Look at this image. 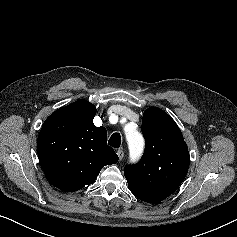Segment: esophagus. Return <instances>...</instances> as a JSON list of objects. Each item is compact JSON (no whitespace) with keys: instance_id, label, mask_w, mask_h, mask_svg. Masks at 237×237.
Returning a JSON list of instances; mask_svg holds the SVG:
<instances>
[{"instance_id":"obj_1","label":"esophagus","mask_w":237,"mask_h":237,"mask_svg":"<svg viewBox=\"0 0 237 237\" xmlns=\"http://www.w3.org/2000/svg\"><path fill=\"white\" fill-rule=\"evenodd\" d=\"M117 155H118L119 160H122L124 157V151L122 149H118Z\"/></svg>"}]
</instances>
